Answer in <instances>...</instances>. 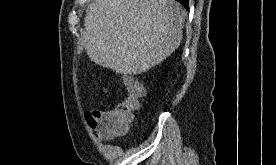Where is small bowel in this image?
Instances as JSON below:
<instances>
[{"label": "small bowel", "instance_id": "c3829d8e", "mask_svg": "<svg viewBox=\"0 0 276 165\" xmlns=\"http://www.w3.org/2000/svg\"><path fill=\"white\" fill-rule=\"evenodd\" d=\"M90 112L96 113V112H102V111H99V110H93V111H90Z\"/></svg>", "mask_w": 276, "mask_h": 165}]
</instances>
